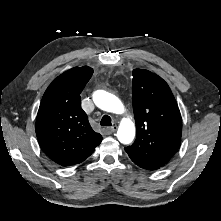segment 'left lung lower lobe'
Masks as SVG:
<instances>
[{
  "label": "left lung lower lobe",
  "instance_id": "obj_1",
  "mask_svg": "<svg viewBox=\"0 0 221 221\" xmlns=\"http://www.w3.org/2000/svg\"><path fill=\"white\" fill-rule=\"evenodd\" d=\"M130 157V156H129ZM131 160L136 164L138 165L139 167L141 168H144L146 170H157L160 168V166L158 165H155L153 163H150V162H147V161H144V160H140V159H137V158H133V157H130Z\"/></svg>",
  "mask_w": 221,
  "mask_h": 221
}]
</instances>
